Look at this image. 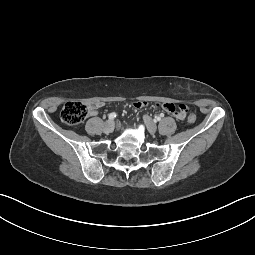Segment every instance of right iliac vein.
I'll list each match as a JSON object with an SVG mask.
<instances>
[{"label": "right iliac vein", "instance_id": "right-iliac-vein-1", "mask_svg": "<svg viewBox=\"0 0 255 255\" xmlns=\"http://www.w3.org/2000/svg\"><path fill=\"white\" fill-rule=\"evenodd\" d=\"M114 129V123L112 120H108L104 123L103 130L105 133H111Z\"/></svg>", "mask_w": 255, "mask_h": 255}]
</instances>
